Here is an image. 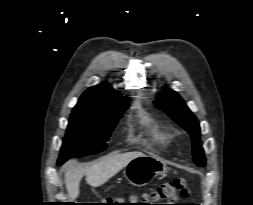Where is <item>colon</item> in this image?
I'll return each instance as SVG.
<instances>
[{"mask_svg": "<svg viewBox=\"0 0 253 205\" xmlns=\"http://www.w3.org/2000/svg\"><path fill=\"white\" fill-rule=\"evenodd\" d=\"M188 194L187 183L185 179L179 178L171 182L164 183L141 196L143 202L138 201V197H132L131 204L123 202L118 199L117 203H112L110 199H104L103 205H175V204H149L150 202L169 201L174 202L179 197H186Z\"/></svg>", "mask_w": 253, "mask_h": 205, "instance_id": "colon-1", "label": "colon"}]
</instances>
